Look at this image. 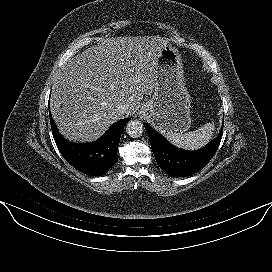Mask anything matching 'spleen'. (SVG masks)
Instances as JSON below:
<instances>
[{
    "instance_id": "obj_1",
    "label": "spleen",
    "mask_w": 272,
    "mask_h": 272,
    "mask_svg": "<svg viewBox=\"0 0 272 272\" xmlns=\"http://www.w3.org/2000/svg\"><path fill=\"white\" fill-rule=\"evenodd\" d=\"M214 130V123H207L197 130L186 134H167L166 138L177 147L194 150L205 146L212 138Z\"/></svg>"
}]
</instances>
